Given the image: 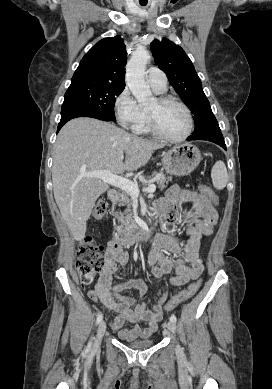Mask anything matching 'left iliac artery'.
<instances>
[{"label": "left iliac artery", "instance_id": "1", "mask_svg": "<svg viewBox=\"0 0 272 389\" xmlns=\"http://www.w3.org/2000/svg\"><path fill=\"white\" fill-rule=\"evenodd\" d=\"M170 321H172V322H176L177 321V318H176V316L175 315H171V317H170Z\"/></svg>", "mask_w": 272, "mask_h": 389}]
</instances>
